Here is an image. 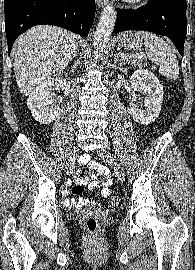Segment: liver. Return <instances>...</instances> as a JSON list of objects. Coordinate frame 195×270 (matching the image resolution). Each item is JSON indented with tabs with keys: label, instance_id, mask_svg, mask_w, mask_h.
Here are the masks:
<instances>
[{
	"label": "liver",
	"instance_id": "obj_1",
	"mask_svg": "<svg viewBox=\"0 0 195 270\" xmlns=\"http://www.w3.org/2000/svg\"><path fill=\"white\" fill-rule=\"evenodd\" d=\"M75 46V35L55 26H36L20 35L12 49L20 93L28 96L43 82L60 75Z\"/></svg>",
	"mask_w": 195,
	"mask_h": 270
}]
</instances>
